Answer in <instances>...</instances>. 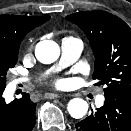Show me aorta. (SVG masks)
Here are the masks:
<instances>
[{
  "mask_svg": "<svg viewBox=\"0 0 131 131\" xmlns=\"http://www.w3.org/2000/svg\"><path fill=\"white\" fill-rule=\"evenodd\" d=\"M35 55L41 63L50 64L58 59L60 49L56 42L51 40H43L36 45ZM67 110L71 117L80 119L86 114L88 104L81 98H74L69 101Z\"/></svg>",
  "mask_w": 131,
  "mask_h": 131,
  "instance_id": "obj_1",
  "label": "aorta"
}]
</instances>
